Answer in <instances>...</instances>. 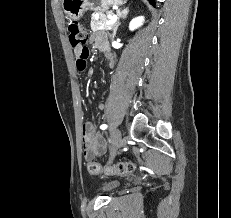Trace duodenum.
Segmentation results:
<instances>
[{"label": "duodenum", "instance_id": "1", "mask_svg": "<svg viewBox=\"0 0 231 218\" xmlns=\"http://www.w3.org/2000/svg\"><path fill=\"white\" fill-rule=\"evenodd\" d=\"M106 56H107L109 59L111 58L109 53H106Z\"/></svg>", "mask_w": 231, "mask_h": 218}]
</instances>
